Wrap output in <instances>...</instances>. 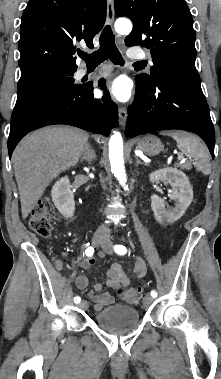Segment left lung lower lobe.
<instances>
[{"label": "left lung lower lobe", "mask_w": 221, "mask_h": 379, "mask_svg": "<svg viewBox=\"0 0 221 379\" xmlns=\"http://www.w3.org/2000/svg\"><path fill=\"white\" fill-rule=\"evenodd\" d=\"M125 135L181 129L198 134L214 156L215 134L200 83L154 74L147 83L136 81V96L128 109Z\"/></svg>", "instance_id": "0a47b994"}]
</instances>
